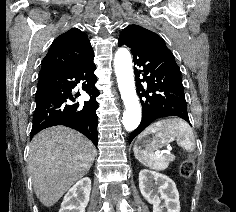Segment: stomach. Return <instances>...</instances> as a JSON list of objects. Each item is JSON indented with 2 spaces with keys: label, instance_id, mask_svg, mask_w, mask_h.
Returning <instances> with one entry per match:
<instances>
[{
  "label": "stomach",
  "instance_id": "1",
  "mask_svg": "<svg viewBox=\"0 0 236 212\" xmlns=\"http://www.w3.org/2000/svg\"><path fill=\"white\" fill-rule=\"evenodd\" d=\"M148 142H149V141H144V142H143V145H144V144H148Z\"/></svg>",
  "mask_w": 236,
  "mask_h": 212
}]
</instances>
